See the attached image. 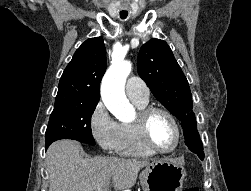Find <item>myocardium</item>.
<instances>
[{
    "label": "myocardium",
    "mask_w": 251,
    "mask_h": 191,
    "mask_svg": "<svg viewBox=\"0 0 251 191\" xmlns=\"http://www.w3.org/2000/svg\"><path fill=\"white\" fill-rule=\"evenodd\" d=\"M155 113H163L166 116H168L177 131L178 134V143L177 146L175 147L174 150L170 151V152H163L158 150L154 144L152 143V141L150 140V136H149V124L150 121L153 117V115ZM138 131L139 137L142 141V143L150 150L152 151L154 154L157 155H161V156H170V155H174L176 154L182 147L183 142H184V134L182 131V128L180 126V123L178 121V119L176 118V116L169 111L166 108L163 107H157V106H145V107H141L139 109V115L138 118L136 119V121L133 123Z\"/></svg>",
    "instance_id": "1"
}]
</instances>
